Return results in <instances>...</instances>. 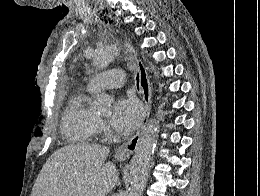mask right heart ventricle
<instances>
[{"label":"right heart ventricle","mask_w":260,"mask_h":196,"mask_svg":"<svg viewBox=\"0 0 260 196\" xmlns=\"http://www.w3.org/2000/svg\"><path fill=\"white\" fill-rule=\"evenodd\" d=\"M96 91L90 83L74 86L71 98L62 116V129L64 134L78 143H93L95 139L87 134L74 135L77 131L97 129L98 119L89 107V100ZM56 192V190H50Z\"/></svg>","instance_id":"e07e8e85"}]
</instances>
